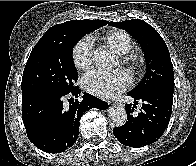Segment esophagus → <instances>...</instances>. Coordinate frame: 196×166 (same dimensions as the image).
Masks as SVG:
<instances>
[{
  "mask_svg": "<svg viewBox=\"0 0 196 166\" xmlns=\"http://www.w3.org/2000/svg\"><path fill=\"white\" fill-rule=\"evenodd\" d=\"M111 106H115V105H117L118 103L117 102H115V101H109L108 102Z\"/></svg>",
  "mask_w": 196,
  "mask_h": 166,
  "instance_id": "obj_1",
  "label": "esophagus"
}]
</instances>
